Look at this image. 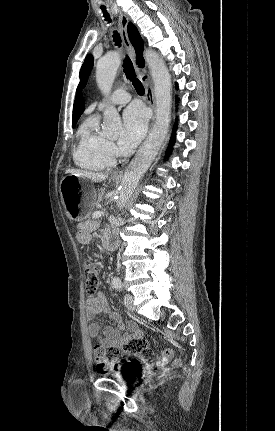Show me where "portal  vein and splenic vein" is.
Wrapping results in <instances>:
<instances>
[{
    "mask_svg": "<svg viewBox=\"0 0 275 431\" xmlns=\"http://www.w3.org/2000/svg\"><path fill=\"white\" fill-rule=\"evenodd\" d=\"M102 215H104V212H103V211H95V212H93V214H92V218L96 219V218L101 217Z\"/></svg>",
    "mask_w": 275,
    "mask_h": 431,
    "instance_id": "18ae733b",
    "label": "portal vein and splenic vein"
}]
</instances>
